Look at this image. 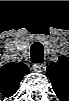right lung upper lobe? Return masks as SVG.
Instances as JSON below:
<instances>
[{
	"label": "right lung upper lobe",
	"instance_id": "1",
	"mask_svg": "<svg viewBox=\"0 0 69 101\" xmlns=\"http://www.w3.org/2000/svg\"><path fill=\"white\" fill-rule=\"evenodd\" d=\"M29 68L24 63H7L0 69V89L6 97L12 96L19 87V83Z\"/></svg>",
	"mask_w": 69,
	"mask_h": 101
}]
</instances>
